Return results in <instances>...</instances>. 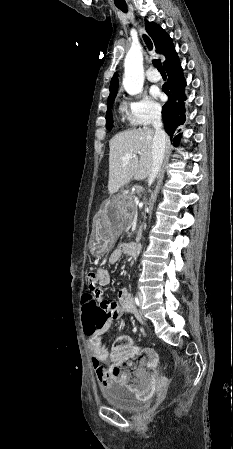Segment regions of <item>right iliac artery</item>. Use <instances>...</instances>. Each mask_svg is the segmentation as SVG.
Listing matches in <instances>:
<instances>
[{"label":"right iliac artery","instance_id":"right-iliac-artery-1","mask_svg":"<svg viewBox=\"0 0 233 449\" xmlns=\"http://www.w3.org/2000/svg\"><path fill=\"white\" fill-rule=\"evenodd\" d=\"M135 303H136L137 306H139V300H138L137 296H135Z\"/></svg>","mask_w":233,"mask_h":449}]
</instances>
